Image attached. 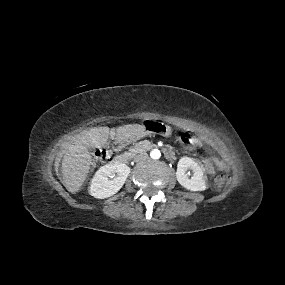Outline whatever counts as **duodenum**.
<instances>
[{"label": "duodenum", "instance_id": "410a0bca", "mask_svg": "<svg viewBox=\"0 0 285 285\" xmlns=\"http://www.w3.org/2000/svg\"><path fill=\"white\" fill-rule=\"evenodd\" d=\"M125 142L122 140H116L114 143L115 150L119 151L120 148L124 146ZM163 153L167 159H173L175 157V153L173 150L165 148L163 149ZM131 155L129 153H118L115 157V161L120 164H125L130 160Z\"/></svg>", "mask_w": 285, "mask_h": 285}]
</instances>
